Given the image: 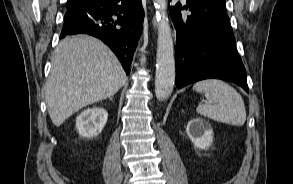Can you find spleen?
<instances>
[{
    "label": "spleen",
    "instance_id": "spleen-1",
    "mask_svg": "<svg viewBox=\"0 0 293 184\" xmlns=\"http://www.w3.org/2000/svg\"><path fill=\"white\" fill-rule=\"evenodd\" d=\"M193 90L204 94L207 99L198 105L197 113L218 122L244 125L246 109L235 88L219 79H206L195 83Z\"/></svg>",
    "mask_w": 293,
    "mask_h": 184
}]
</instances>
